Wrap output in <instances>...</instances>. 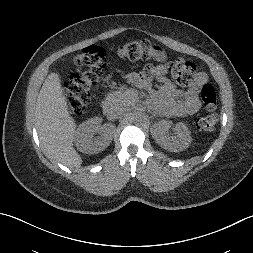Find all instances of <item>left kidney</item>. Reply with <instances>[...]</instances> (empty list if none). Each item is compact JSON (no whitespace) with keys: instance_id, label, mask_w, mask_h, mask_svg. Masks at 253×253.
<instances>
[{"instance_id":"5707ae66","label":"left kidney","mask_w":253,"mask_h":253,"mask_svg":"<svg viewBox=\"0 0 253 253\" xmlns=\"http://www.w3.org/2000/svg\"><path fill=\"white\" fill-rule=\"evenodd\" d=\"M170 129L173 133H170ZM151 133L155 142L170 152L183 151L192 141L188 127L182 122L173 126L171 121H159L154 125Z\"/></svg>"}]
</instances>
